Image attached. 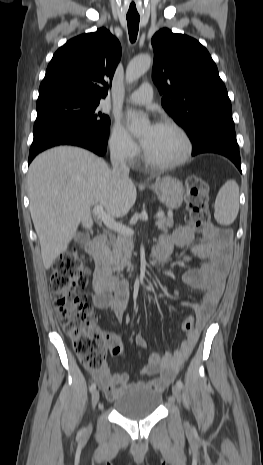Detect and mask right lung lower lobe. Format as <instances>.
I'll list each match as a JSON object with an SVG mask.
<instances>
[{"mask_svg":"<svg viewBox=\"0 0 263 465\" xmlns=\"http://www.w3.org/2000/svg\"><path fill=\"white\" fill-rule=\"evenodd\" d=\"M108 138L100 139L82 130L74 128H57L43 131L34 135L29 152L30 163L40 152L58 145H74L86 148L99 156H103L107 150Z\"/></svg>","mask_w":263,"mask_h":465,"instance_id":"98d812e1","label":"right lung lower lobe"}]
</instances>
